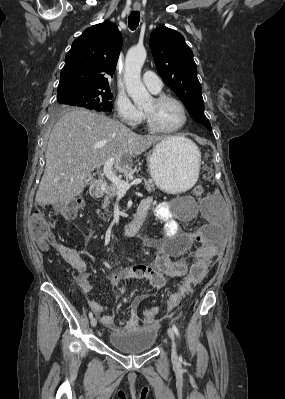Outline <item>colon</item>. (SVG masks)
<instances>
[{
  "instance_id": "obj_1",
  "label": "colon",
  "mask_w": 285,
  "mask_h": 399,
  "mask_svg": "<svg viewBox=\"0 0 285 399\" xmlns=\"http://www.w3.org/2000/svg\"><path fill=\"white\" fill-rule=\"evenodd\" d=\"M193 194L199 197L203 194V189L200 186L193 188ZM83 203L77 200H71L60 206L59 209L54 211L50 217H48L43 211H34L29 218L28 226L30 234L42 249L46 250L55 245L51 230L53 227L52 218L59 214H68L69 216H75L77 212L82 208ZM61 256L65 261L70 260L66 254L60 252ZM207 260L193 263L190 267L188 278L183 282L180 292L186 291L195 281L200 279L206 268ZM160 308L158 306H152L142 311L143 322L145 324L154 323L159 315Z\"/></svg>"
}]
</instances>
